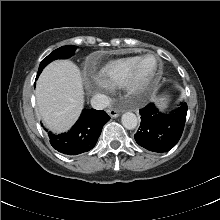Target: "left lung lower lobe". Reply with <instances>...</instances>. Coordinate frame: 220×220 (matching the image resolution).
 <instances>
[{"label":"left lung lower lobe","instance_id":"left-lung-lower-lobe-1","mask_svg":"<svg viewBox=\"0 0 220 220\" xmlns=\"http://www.w3.org/2000/svg\"><path fill=\"white\" fill-rule=\"evenodd\" d=\"M141 126L134 135L136 142L153 152H167L179 141L187 115V104L169 114L161 113L153 103L141 109Z\"/></svg>","mask_w":220,"mask_h":220}]
</instances>
